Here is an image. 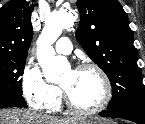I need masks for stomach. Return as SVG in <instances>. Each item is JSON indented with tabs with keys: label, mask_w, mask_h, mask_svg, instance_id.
<instances>
[{
	"label": "stomach",
	"mask_w": 145,
	"mask_h": 124,
	"mask_svg": "<svg viewBox=\"0 0 145 124\" xmlns=\"http://www.w3.org/2000/svg\"><path fill=\"white\" fill-rule=\"evenodd\" d=\"M77 124H115V123L105 119L85 117L79 119Z\"/></svg>",
	"instance_id": "0dacf381"
}]
</instances>
